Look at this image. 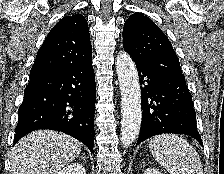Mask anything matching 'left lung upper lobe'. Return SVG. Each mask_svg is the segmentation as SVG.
<instances>
[{"label": "left lung upper lobe", "instance_id": "1", "mask_svg": "<svg viewBox=\"0 0 224 174\" xmlns=\"http://www.w3.org/2000/svg\"><path fill=\"white\" fill-rule=\"evenodd\" d=\"M123 47L135 62L164 65L182 72L167 36L142 13H134L126 20Z\"/></svg>", "mask_w": 224, "mask_h": 174}]
</instances>
